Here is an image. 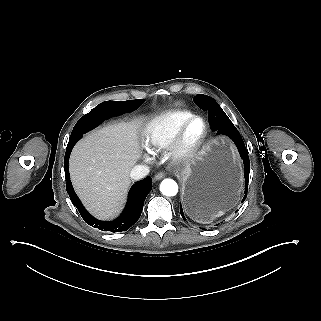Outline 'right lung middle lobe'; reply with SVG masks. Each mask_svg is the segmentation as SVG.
<instances>
[{"label": "right lung middle lobe", "mask_w": 321, "mask_h": 321, "mask_svg": "<svg viewBox=\"0 0 321 321\" xmlns=\"http://www.w3.org/2000/svg\"><path fill=\"white\" fill-rule=\"evenodd\" d=\"M144 99H137V100H128V101H105L102 102L101 104H99L97 107H95L94 109H92L88 114L84 115L78 122L77 124L74 126V129L72 131V134L80 131L81 129L88 127L90 125H93L96 123V121L98 120L96 118V116L94 115V112L96 110H98L100 107L105 106V105H109V104H133L136 106V108H138L141 104L144 103ZM98 124H95L92 128L96 127Z\"/></svg>", "instance_id": "dd1d6c3e"}]
</instances>
